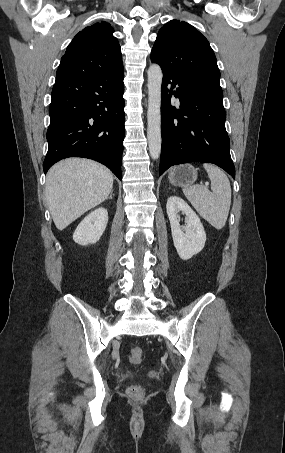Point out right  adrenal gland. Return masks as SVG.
Wrapping results in <instances>:
<instances>
[{
  "mask_svg": "<svg viewBox=\"0 0 285 453\" xmlns=\"http://www.w3.org/2000/svg\"><path fill=\"white\" fill-rule=\"evenodd\" d=\"M112 196H113V191L111 192L110 196L108 197V199H112Z\"/></svg>",
  "mask_w": 285,
  "mask_h": 453,
  "instance_id": "1",
  "label": "right adrenal gland"
}]
</instances>
